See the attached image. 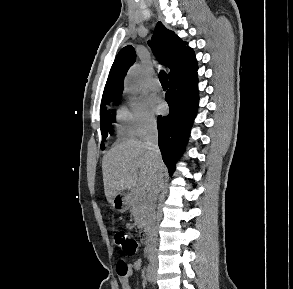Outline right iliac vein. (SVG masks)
<instances>
[{
    "mask_svg": "<svg viewBox=\"0 0 293 289\" xmlns=\"http://www.w3.org/2000/svg\"><path fill=\"white\" fill-rule=\"evenodd\" d=\"M152 270H153V278H154L155 277V270H156V266L155 265L152 267Z\"/></svg>",
    "mask_w": 293,
    "mask_h": 289,
    "instance_id": "right-iliac-vein-1",
    "label": "right iliac vein"
}]
</instances>
